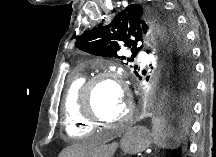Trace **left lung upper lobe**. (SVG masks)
I'll return each instance as SVG.
<instances>
[{
	"mask_svg": "<svg viewBox=\"0 0 216 157\" xmlns=\"http://www.w3.org/2000/svg\"><path fill=\"white\" fill-rule=\"evenodd\" d=\"M144 41L156 49L163 72L172 76L178 87L195 81L194 64L185 36L174 18L158 5L130 4L110 24L88 33L77 48L93 55L126 59L117 54L121 47H129L135 57L143 47L139 43Z\"/></svg>",
	"mask_w": 216,
	"mask_h": 157,
	"instance_id": "5c2ea615",
	"label": "left lung upper lobe"
}]
</instances>
